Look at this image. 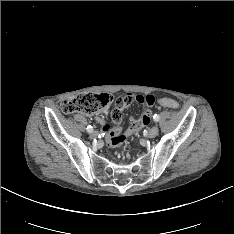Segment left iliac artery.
<instances>
[{"mask_svg":"<svg viewBox=\"0 0 234 234\" xmlns=\"http://www.w3.org/2000/svg\"><path fill=\"white\" fill-rule=\"evenodd\" d=\"M159 115L158 114H155L154 116H153V119H154V121L155 122H158L159 121Z\"/></svg>","mask_w":234,"mask_h":234,"instance_id":"left-iliac-artery-1","label":"left iliac artery"}]
</instances>
